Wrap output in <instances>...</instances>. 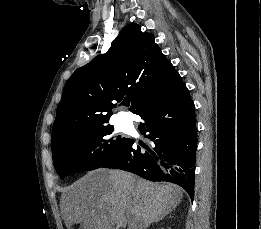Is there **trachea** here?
I'll use <instances>...</instances> for the list:
<instances>
[{"label":"trachea","mask_w":261,"mask_h":229,"mask_svg":"<svg viewBox=\"0 0 261 229\" xmlns=\"http://www.w3.org/2000/svg\"><path fill=\"white\" fill-rule=\"evenodd\" d=\"M123 105H125L126 107H129L130 101L128 99H124L123 100Z\"/></svg>","instance_id":"obj_1"}]
</instances>
